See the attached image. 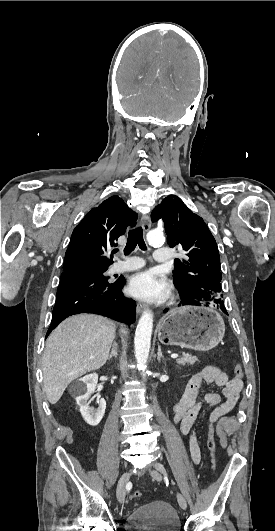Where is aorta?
<instances>
[{"label":"aorta","mask_w":275,"mask_h":531,"mask_svg":"<svg viewBox=\"0 0 275 531\" xmlns=\"http://www.w3.org/2000/svg\"><path fill=\"white\" fill-rule=\"evenodd\" d=\"M163 233L158 231H150L147 235L148 243H157L162 239ZM153 329V313L151 311H144L140 317L134 337L135 359L137 367L141 371L143 379L146 377L147 361L149 359L151 347V335Z\"/></svg>","instance_id":"762f6f07"}]
</instances>
